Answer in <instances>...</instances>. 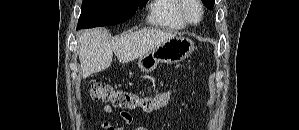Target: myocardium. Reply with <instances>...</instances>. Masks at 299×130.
Returning a JSON list of instances; mask_svg holds the SVG:
<instances>
[{"mask_svg":"<svg viewBox=\"0 0 299 130\" xmlns=\"http://www.w3.org/2000/svg\"><path fill=\"white\" fill-rule=\"evenodd\" d=\"M191 4H194L198 7L199 9V19L197 21L191 20V18L188 15V8ZM180 15L182 19L189 25H199L204 16V8L199 0H181V7H180Z\"/></svg>","mask_w":299,"mask_h":130,"instance_id":"myocardium-1","label":"myocardium"}]
</instances>
